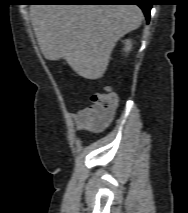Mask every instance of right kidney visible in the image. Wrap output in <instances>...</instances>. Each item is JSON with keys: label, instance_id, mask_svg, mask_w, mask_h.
Instances as JSON below:
<instances>
[{"label": "right kidney", "instance_id": "right-kidney-1", "mask_svg": "<svg viewBox=\"0 0 188 213\" xmlns=\"http://www.w3.org/2000/svg\"><path fill=\"white\" fill-rule=\"evenodd\" d=\"M132 49V41L131 40H126L125 41V47H124V51L126 53L130 52Z\"/></svg>", "mask_w": 188, "mask_h": 213}]
</instances>
